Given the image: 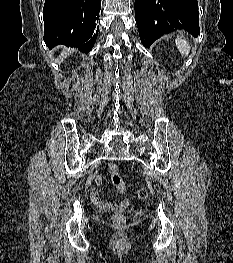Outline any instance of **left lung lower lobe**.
I'll list each match as a JSON object with an SVG mask.
<instances>
[{"instance_id": "obj_1", "label": "left lung lower lobe", "mask_w": 233, "mask_h": 263, "mask_svg": "<svg viewBox=\"0 0 233 263\" xmlns=\"http://www.w3.org/2000/svg\"><path fill=\"white\" fill-rule=\"evenodd\" d=\"M135 19L146 48L175 29L187 30L195 36L200 33L197 0H136Z\"/></svg>"}]
</instances>
